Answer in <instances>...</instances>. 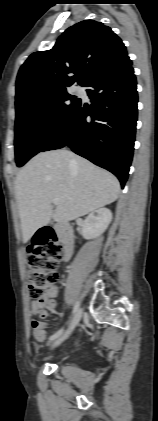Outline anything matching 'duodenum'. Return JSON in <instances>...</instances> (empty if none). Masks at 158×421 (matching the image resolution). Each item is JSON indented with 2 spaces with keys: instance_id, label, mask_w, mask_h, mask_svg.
Returning a JSON list of instances; mask_svg holds the SVG:
<instances>
[{
  "instance_id": "1",
  "label": "duodenum",
  "mask_w": 158,
  "mask_h": 421,
  "mask_svg": "<svg viewBox=\"0 0 158 421\" xmlns=\"http://www.w3.org/2000/svg\"><path fill=\"white\" fill-rule=\"evenodd\" d=\"M56 230L59 234L62 246H63V252H64V260H67L73 251L74 247V233L70 225L66 222H62L56 225ZM44 233H51L50 227H44L42 229Z\"/></svg>"
}]
</instances>
